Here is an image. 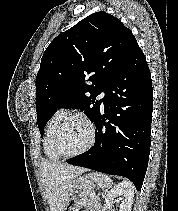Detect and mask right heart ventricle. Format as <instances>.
Listing matches in <instances>:
<instances>
[{
	"label": "right heart ventricle",
	"instance_id": "obj_1",
	"mask_svg": "<svg viewBox=\"0 0 178 211\" xmlns=\"http://www.w3.org/2000/svg\"><path fill=\"white\" fill-rule=\"evenodd\" d=\"M67 115V112L63 108H57L53 114L51 115L50 119L47 122L46 125V132H45V140H44V151L46 156L50 160H57L60 157L57 155V153L53 149V136L54 132L59 125V123L62 121V119Z\"/></svg>",
	"mask_w": 178,
	"mask_h": 211
}]
</instances>
